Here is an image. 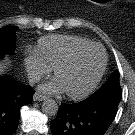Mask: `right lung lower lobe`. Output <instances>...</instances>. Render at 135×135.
<instances>
[{"label":"right lung lower lobe","mask_w":135,"mask_h":135,"mask_svg":"<svg viewBox=\"0 0 135 135\" xmlns=\"http://www.w3.org/2000/svg\"><path fill=\"white\" fill-rule=\"evenodd\" d=\"M34 90L8 77L0 78V135H13L20 108L32 102Z\"/></svg>","instance_id":"obj_1"}]
</instances>
